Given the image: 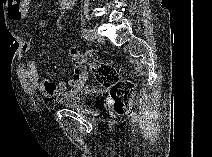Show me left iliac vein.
<instances>
[{
    "mask_svg": "<svg viewBox=\"0 0 212 157\" xmlns=\"http://www.w3.org/2000/svg\"><path fill=\"white\" fill-rule=\"evenodd\" d=\"M93 37L100 42H104L103 36H101L96 29L93 30Z\"/></svg>",
    "mask_w": 212,
    "mask_h": 157,
    "instance_id": "1",
    "label": "left iliac vein"
}]
</instances>
